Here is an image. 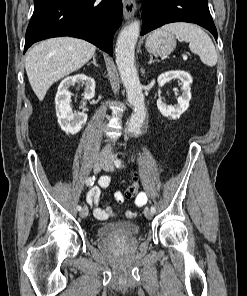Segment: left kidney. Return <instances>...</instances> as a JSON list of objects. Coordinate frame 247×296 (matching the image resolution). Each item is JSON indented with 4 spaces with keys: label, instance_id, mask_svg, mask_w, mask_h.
Here are the masks:
<instances>
[{
    "label": "left kidney",
    "instance_id": "5707ae66",
    "mask_svg": "<svg viewBox=\"0 0 247 296\" xmlns=\"http://www.w3.org/2000/svg\"><path fill=\"white\" fill-rule=\"evenodd\" d=\"M172 79H179L182 82V95L177 99V104L167 105L162 99L157 100V107L161 114L165 117L172 119H178L189 107V101L191 100V84L192 77L189 73L184 71H168L161 74L158 77L159 86H163L165 83Z\"/></svg>",
    "mask_w": 247,
    "mask_h": 296
}]
</instances>
